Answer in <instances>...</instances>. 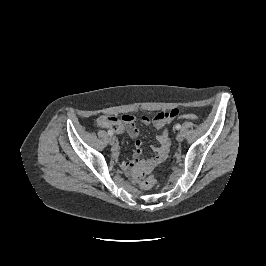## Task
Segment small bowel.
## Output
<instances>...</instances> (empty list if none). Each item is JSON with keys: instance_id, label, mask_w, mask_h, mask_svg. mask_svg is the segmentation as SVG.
Segmentation results:
<instances>
[{"instance_id": "c3829d8e", "label": "small bowel", "mask_w": 266, "mask_h": 266, "mask_svg": "<svg viewBox=\"0 0 266 266\" xmlns=\"http://www.w3.org/2000/svg\"><path fill=\"white\" fill-rule=\"evenodd\" d=\"M178 114L179 111L177 109H172L158 113L155 116L153 120L154 125L163 130L157 136L158 145L155 147L156 154L149 160H143L139 158L142 153L143 144L139 139H137L139 132L135 125L136 117L134 115L126 114L121 119L101 116L97 119V124L103 128H111L118 133L126 131L132 138L136 139V158L133 161L123 162L122 168L132 179L138 180L165 160L170 147L168 131L165 126L174 118H176ZM119 151V146L115 145L113 148V155L117 157L119 155Z\"/></svg>"}]
</instances>
